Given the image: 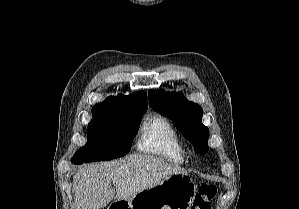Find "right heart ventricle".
<instances>
[{"label":"right heart ventricle","instance_id":"1","mask_svg":"<svg viewBox=\"0 0 299 209\" xmlns=\"http://www.w3.org/2000/svg\"><path fill=\"white\" fill-rule=\"evenodd\" d=\"M140 151L156 155L173 164H183L187 149L172 125L163 117L154 116L144 122L137 143Z\"/></svg>","mask_w":299,"mask_h":209}]
</instances>
